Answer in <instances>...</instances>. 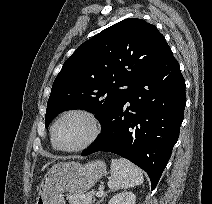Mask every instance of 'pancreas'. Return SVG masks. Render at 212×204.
I'll list each match as a JSON object with an SVG mask.
<instances>
[{"mask_svg":"<svg viewBox=\"0 0 212 204\" xmlns=\"http://www.w3.org/2000/svg\"><path fill=\"white\" fill-rule=\"evenodd\" d=\"M94 195H95L94 191H91L83 195L76 193H69L66 195V199L68 200L69 204H93L95 201Z\"/></svg>","mask_w":212,"mask_h":204,"instance_id":"obj_1","label":"pancreas"}]
</instances>
